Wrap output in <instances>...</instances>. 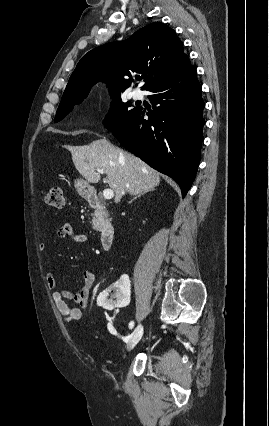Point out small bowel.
<instances>
[{
  "label": "small bowel",
  "mask_w": 269,
  "mask_h": 426,
  "mask_svg": "<svg viewBox=\"0 0 269 426\" xmlns=\"http://www.w3.org/2000/svg\"><path fill=\"white\" fill-rule=\"evenodd\" d=\"M57 237L60 239L69 238L76 243H88L90 241L87 235L75 232L70 223L63 224L57 230ZM39 249L40 251H45L46 245L41 243ZM45 277L47 285L52 291V299L60 314L67 322L79 320L83 310H85L88 305L90 293L96 278V272L92 269L85 270L83 272L81 286L76 291L60 289L56 277L50 271L46 272ZM112 330L114 331L113 328Z\"/></svg>",
  "instance_id": "obj_1"
}]
</instances>
